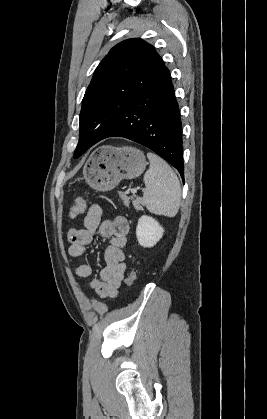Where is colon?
I'll return each mask as SVG.
<instances>
[{"mask_svg": "<svg viewBox=\"0 0 267 419\" xmlns=\"http://www.w3.org/2000/svg\"><path fill=\"white\" fill-rule=\"evenodd\" d=\"M87 206V201L85 199H77L75 203L70 207L69 214L72 217H75L84 212ZM136 279V272L132 270L126 278V284L131 286Z\"/></svg>", "mask_w": 267, "mask_h": 419, "instance_id": "obj_1", "label": "colon"}]
</instances>
